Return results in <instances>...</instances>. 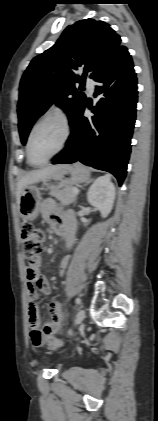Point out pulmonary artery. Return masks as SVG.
<instances>
[{"instance_id":"1","label":"pulmonary artery","mask_w":158,"mask_h":421,"mask_svg":"<svg viewBox=\"0 0 158 421\" xmlns=\"http://www.w3.org/2000/svg\"><path fill=\"white\" fill-rule=\"evenodd\" d=\"M96 82L92 79H87L86 88L89 94H93L95 91Z\"/></svg>"}]
</instances>
